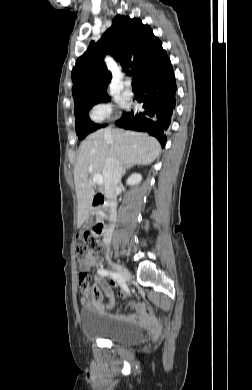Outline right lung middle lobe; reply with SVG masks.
<instances>
[{"instance_id":"right-lung-middle-lobe-1","label":"right lung middle lobe","mask_w":252,"mask_h":390,"mask_svg":"<svg viewBox=\"0 0 252 390\" xmlns=\"http://www.w3.org/2000/svg\"><path fill=\"white\" fill-rule=\"evenodd\" d=\"M109 100L110 97L108 96L75 108V118H76L75 128L79 140L86 137L89 133L105 126V125L94 124L88 116V111L94 104L100 102H107Z\"/></svg>"}]
</instances>
